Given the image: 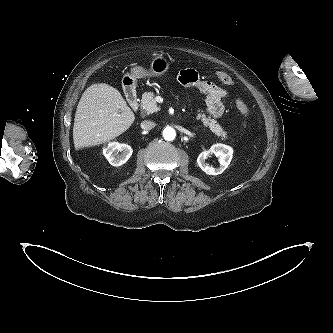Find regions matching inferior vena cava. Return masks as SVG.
I'll list each match as a JSON object with an SVG mask.
<instances>
[{"label":"inferior vena cava","instance_id":"602c4592","mask_svg":"<svg viewBox=\"0 0 333 333\" xmlns=\"http://www.w3.org/2000/svg\"><path fill=\"white\" fill-rule=\"evenodd\" d=\"M155 123L153 121H149V120H144L141 122V128L145 129V130H150L153 129L155 127Z\"/></svg>","mask_w":333,"mask_h":333}]
</instances>
